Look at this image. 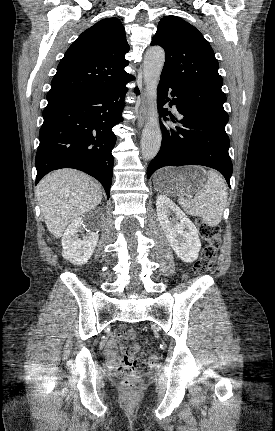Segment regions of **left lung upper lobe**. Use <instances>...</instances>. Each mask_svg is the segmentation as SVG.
Listing matches in <instances>:
<instances>
[{"label":"left lung upper lobe","instance_id":"obj_1","mask_svg":"<svg viewBox=\"0 0 275 431\" xmlns=\"http://www.w3.org/2000/svg\"><path fill=\"white\" fill-rule=\"evenodd\" d=\"M151 45L165 50L161 77L203 110L228 118L223 108L226 95L214 51L200 31L176 16L163 17Z\"/></svg>","mask_w":275,"mask_h":431}]
</instances>
